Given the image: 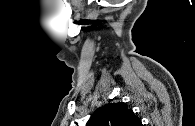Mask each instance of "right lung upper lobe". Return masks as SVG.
I'll use <instances>...</instances> for the list:
<instances>
[{
    "mask_svg": "<svg viewBox=\"0 0 195 126\" xmlns=\"http://www.w3.org/2000/svg\"><path fill=\"white\" fill-rule=\"evenodd\" d=\"M86 126H142V123L124 102H116L98 108Z\"/></svg>",
    "mask_w": 195,
    "mask_h": 126,
    "instance_id": "cb5924a9",
    "label": "right lung upper lobe"
}]
</instances>
